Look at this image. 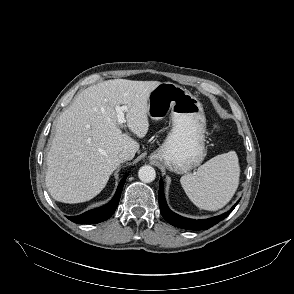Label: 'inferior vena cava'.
Returning <instances> with one entry per match:
<instances>
[{
  "label": "inferior vena cava",
  "mask_w": 294,
  "mask_h": 294,
  "mask_svg": "<svg viewBox=\"0 0 294 294\" xmlns=\"http://www.w3.org/2000/svg\"><path fill=\"white\" fill-rule=\"evenodd\" d=\"M118 157L123 162V161L131 160L133 158V155L127 150H123L121 153H119Z\"/></svg>",
  "instance_id": "602c4592"
}]
</instances>
